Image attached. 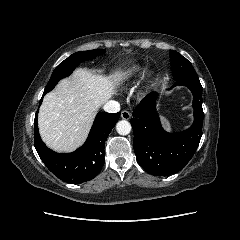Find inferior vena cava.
I'll return each instance as SVG.
<instances>
[{
    "label": "inferior vena cava",
    "instance_id": "inferior-vena-cava-1",
    "mask_svg": "<svg viewBox=\"0 0 240 240\" xmlns=\"http://www.w3.org/2000/svg\"><path fill=\"white\" fill-rule=\"evenodd\" d=\"M103 109L108 113H117L120 111V104L117 101L109 100L104 104Z\"/></svg>",
    "mask_w": 240,
    "mask_h": 240
}]
</instances>
